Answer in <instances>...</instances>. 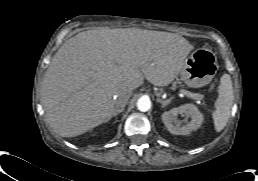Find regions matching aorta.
<instances>
[{"mask_svg": "<svg viewBox=\"0 0 258 181\" xmlns=\"http://www.w3.org/2000/svg\"><path fill=\"white\" fill-rule=\"evenodd\" d=\"M151 107V101L149 98L146 97H141L137 101V108L141 112H146L150 109Z\"/></svg>", "mask_w": 258, "mask_h": 181, "instance_id": "762f6f07", "label": "aorta"}]
</instances>
